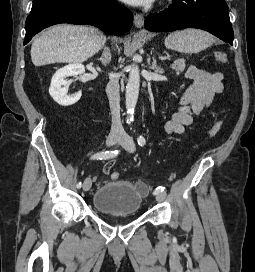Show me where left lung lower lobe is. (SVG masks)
I'll list each match as a JSON object with an SVG mask.
<instances>
[{
	"mask_svg": "<svg viewBox=\"0 0 255 272\" xmlns=\"http://www.w3.org/2000/svg\"><path fill=\"white\" fill-rule=\"evenodd\" d=\"M144 27L153 32L198 28L233 45V29L225 0H173L170 7L145 19Z\"/></svg>",
	"mask_w": 255,
	"mask_h": 272,
	"instance_id": "1",
	"label": "left lung lower lobe"
}]
</instances>
